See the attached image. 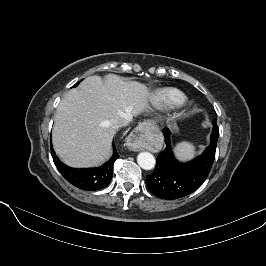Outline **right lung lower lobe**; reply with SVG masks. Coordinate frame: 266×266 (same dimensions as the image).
Here are the masks:
<instances>
[{
  "instance_id": "right-lung-lower-lobe-1",
  "label": "right lung lower lobe",
  "mask_w": 266,
  "mask_h": 266,
  "mask_svg": "<svg viewBox=\"0 0 266 266\" xmlns=\"http://www.w3.org/2000/svg\"><path fill=\"white\" fill-rule=\"evenodd\" d=\"M51 150L54 164L63 177L75 187L86 191H95L106 187L113 176L114 162L119 158L114 147L112 157L102 166L97 168L75 169L62 163L55 155L52 147Z\"/></svg>"
}]
</instances>
